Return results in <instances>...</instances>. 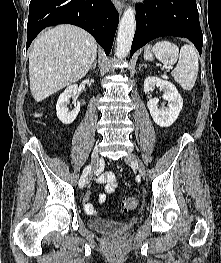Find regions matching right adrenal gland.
Segmentation results:
<instances>
[{
	"mask_svg": "<svg viewBox=\"0 0 221 263\" xmlns=\"http://www.w3.org/2000/svg\"><path fill=\"white\" fill-rule=\"evenodd\" d=\"M96 64H97V60H95V61L93 62V65L91 66L90 69H91V70H92V69H95V68H96Z\"/></svg>",
	"mask_w": 221,
	"mask_h": 263,
	"instance_id": "right-adrenal-gland-1",
	"label": "right adrenal gland"
}]
</instances>
